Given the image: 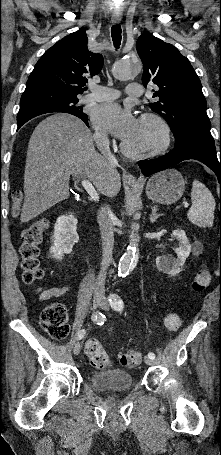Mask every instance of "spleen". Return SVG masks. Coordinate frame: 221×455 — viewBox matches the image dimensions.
<instances>
[{"instance_id": "1", "label": "spleen", "mask_w": 221, "mask_h": 455, "mask_svg": "<svg viewBox=\"0 0 221 455\" xmlns=\"http://www.w3.org/2000/svg\"><path fill=\"white\" fill-rule=\"evenodd\" d=\"M191 200L192 207L187 213L189 221L199 227H212L216 204L210 190L200 181H194Z\"/></svg>"}]
</instances>
